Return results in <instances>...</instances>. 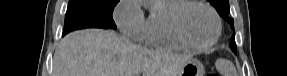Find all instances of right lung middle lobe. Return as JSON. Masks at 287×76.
<instances>
[{"label": "right lung middle lobe", "mask_w": 287, "mask_h": 76, "mask_svg": "<svg viewBox=\"0 0 287 76\" xmlns=\"http://www.w3.org/2000/svg\"><path fill=\"white\" fill-rule=\"evenodd\" d=\"M119 0H69L63 35L78 29H116L112 12Z\"/></svg>", "instance_id": "dd1d6c3e"}]
</instances>
